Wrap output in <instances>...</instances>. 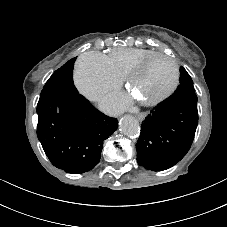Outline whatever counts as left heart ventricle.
<instances>
[{
	"mask_svg": "<svg viewBox=\"0 0 227 227\" xmlns=\"http://www.w3.org/2000/svg\"><path fill=\"white\" fill-rule=\"evenodd\" d=\"M172 79L171 61L165 57H157L135 77L131 89L137 98L147 99L167 89Z\"/></svg>",
	"mask_w": 227,
	"mask_h": 227,
	"instance_id": "left-heart-ventricle-1",
	"label": "left heart ventricle"
}]
</instances>
